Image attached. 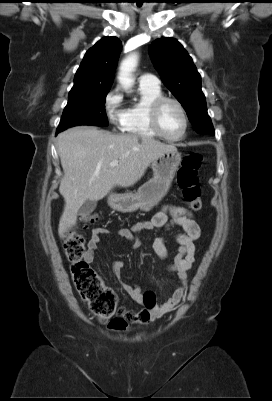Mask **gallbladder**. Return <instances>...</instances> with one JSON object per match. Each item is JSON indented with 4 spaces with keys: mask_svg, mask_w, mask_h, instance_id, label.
Here are the masks:
<instances>
[{
    "mask_svg": "<svg viewBox=\"0 0 272 401\" xmlns=\"http://www.w3.org/2000/svg\"><path fill=\"white\" fill-rule=\"evenodd\" d=\"M96 206H97L96 201L86 200L79 209V215L83 217L90 215L95 210Z\"/></svg>",
    "mask_w": 272,
    "mask_h": 401,
    "instance_id": "gallbladder-1",
    "label": "gallbladder"
}]
</instances>
